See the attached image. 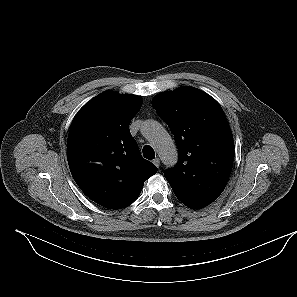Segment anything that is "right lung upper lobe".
<instances>
[{
	"mask_svg": "<svg viewBox=\"0 0 297 297\" xmlns=\"http://www.w3.org/2000/svg\"><path fill=\"white\" fill-rule=\"evenodd\" d=\"M141 104L137 95L105 91L81 108L70 127L71 174L91 200L109 209L131 205L158 170L141 156L129 131Z\"/></svg>",
	"mask_w": 297,
	"mask_h": 297,
	"instance_id": "obj_1",
	"label": "right lung upper lobe"
}]
</instances>
